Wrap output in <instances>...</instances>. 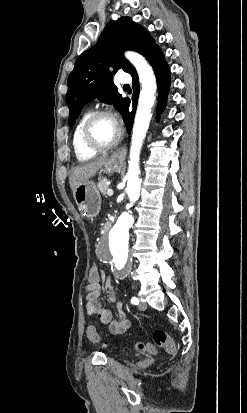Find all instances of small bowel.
Here are the masks:
<instances>
[{
    "instance_id": "c3829d8e",
    "label": "small bowel",
    "mask_w": 247,
    "mask_h": 413,
    "mask_svg": "<svg viewBox=\"0 0 247 413\" xmlns=\"http://www.w3.org/2000/svg\"><path fill=\"white\" fill-rule=\"evenodd\" d=\"M117 290L118 286L113 283L106 284L104 288L109 302L114 304L118 309V315L116 319H113L110 310L103 307L99 301L101 291L100 282H98L97 289H86V310L88 315L96 317L101 324L108 325L111 333L122 334L130 327L131 323L127 318L125 312L122 311L121 303L116 302Z\"/></svg>"
}]
</instances>
